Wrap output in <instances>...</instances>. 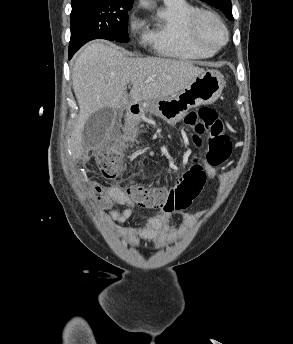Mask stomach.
<instances>
[{"label": "stomach", "mask_w": 293, "mask_h": 344, "mask_svg": "<svg viewBox=\"0 0 293 344\" xmlns=\"http://www.w3.org/2000/svg\"><path fill=\"white\" fill-rule=\"evenodd\" d=\"M225 85L223 75L208 69L196 76L190 85L176 95L137 104L142 113L150 112L169 124H176L189 109L212 104L222 93Z\"/></svg>", "instance_id": "1"}]
</instances>
